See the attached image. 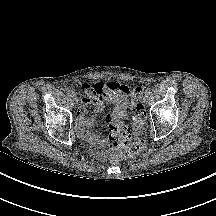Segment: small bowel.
I'll return each instance as SVG.
<instances>
[{"mask_svg": "<svg viewBox=\"0 0 216 216\" xmlns=\"http://www.w3.org/2000/svg\"><path fill=\"white\" fill-rule=\"evenodd\" d=\"M94 90L91 93H85L77 111V131L78 134L88 140L93 147L100 148L103 139L91 132V128L96 126L95 120L89 115L88 110L91 105L94 106V112L103 111L105 103L113 104V109L108 115L109 121H118L124 119L128 113L130 88L122 83L98 82L93 85Z\"/></svg>", "mask_w": 216, "mask_h": 216, "instance_id": "obj_1", "label": "small bowel"}]
</instances>
